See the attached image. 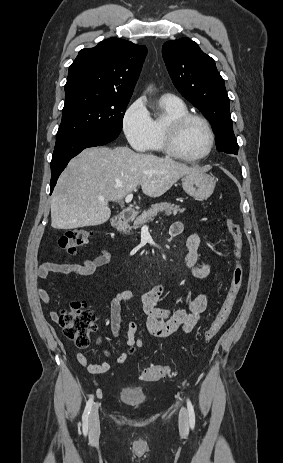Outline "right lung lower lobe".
<instances>
[{"label": "right lung lower lobe", "mask_w": 283, "mask_h": 463, "mask_svg": "<svg viewBox=\"0 0 283 463\" xmlns=\"http://www.w3.org/2000/svg\"><path fill=\"white\" fill-rule=\"evenodd\" d=\"M116 137L113 134L84 133L57 140L51 161L50 193L59 175L73 157L85 148L107 144Z\"/></svg>", "instance_id": "98d812e1"}]
</instances>
